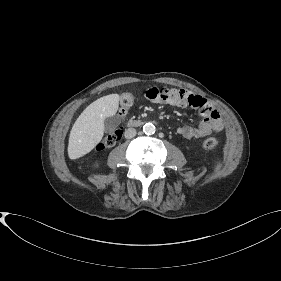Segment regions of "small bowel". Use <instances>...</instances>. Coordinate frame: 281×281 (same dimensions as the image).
<instances>
[{
	"instance_id": "small-bowel-1",
	"label": "small bowel",
	"mask_w": 281,
	"mask_h": 281,
	"mask_svg": "<svg viewBox=\"0 0 281 281\" xmlns=\"http://www.w3.org/2000/svg\"><path fill=\"white\" fill-rule=\"evenodd\" d=\"M145 95L156 104L179 108L193 107L200 112L201 121L197 127L181 126L177 129V133L184 138H204L223 129V120L219 111L200 95L176 88H150Z\"/></svg>"
}]
</instances>
